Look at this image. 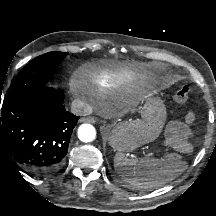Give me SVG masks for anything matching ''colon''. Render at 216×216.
<instances>
[{
	"label": "colon",
	"instance_id": "obj_1",
	"mask_svg": "<svg viewBox=\"0 0 216 216\" xmlns=\"http://www.w3.org/2000/svg\"><path fill=\"white\" fill-rule=\"evenodd\" d=\"M190 99V89L187 86L180 87L174 94V100L179 104H185Z\"/></svg>",
	"mask_w": 216,
	"mask_h": 216
}]
</instances>
